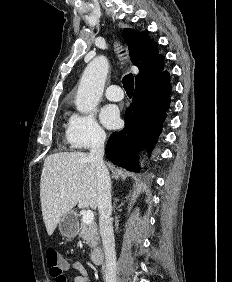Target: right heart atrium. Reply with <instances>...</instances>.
<instances>
[{
    "label": "right heart atrium",
    "mask_w": 232,
    "mask_h": 282,
    "mask_svg": "<svg viewBox=\"0 0 232 282\" xmlns=\"http://www.w3.org/2000/svg\"><path fill=\"white\" fill-rule=\"evenodd\" d=\"M67 136L76 149H88L104 142L106 134L93 114H73L69 120Z\"/></svg>",
    "instance_id": "d8ad5b80"
}]
</instances>
